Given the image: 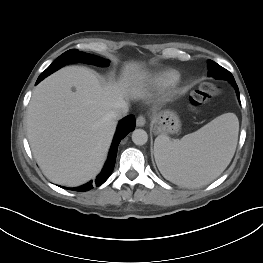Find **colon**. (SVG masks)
<instances>
[{"mask_svg":"<svg viewBox=\"0 0 263 263\" xmlns=\"http://www.w3.org/2000/svg\"><path fill=\"white\" fill-rule=\"evenodd\" d=\"M221 90L217 85L212 83H203L194 91L191 96L190 103L193 108H198L220 94Z\"/></svg>","mask_w":263,"mask_h":263,"instance_id":"colon-1","label":"colon"}]
</instances>
